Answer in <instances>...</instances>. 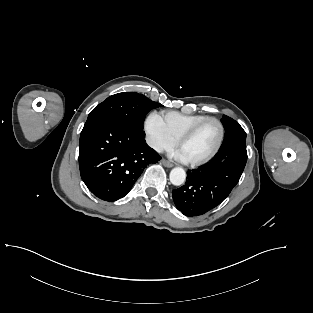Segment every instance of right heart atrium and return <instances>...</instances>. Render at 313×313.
<instances>
[{"mask_svg":"<svg viewBox=\"0 0 313 313\" xmlns=\"http://www.w3.org/2000/svg\"><path fill=\"white\" fill-rule=\"evenodd\" d=\"M144 129L147 143L154 151L161 153L175 146L176 141L166 131L159 114H150L145 121Z\"/></svg>","mask_w":313,"mask_h":313,"instance_id":"d8ad5b80","label":"right heart atrium"}]
</instances>
